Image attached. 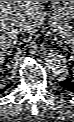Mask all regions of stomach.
<instances>
[{"mask_svg":"<svg viewBox=\"0 0 74 122\" xmlns=\"http://www.w3.org/2000/svg\"><path fill=\"white\" fill-rule=\"evenodd\" d=\"M53 15L56 20L70 19L74 15V1H52Z\"/></svg>","mask_w":74,"mask_h":122,"instance_id":"stomach-1","label":"stomach"}]
</instances>
